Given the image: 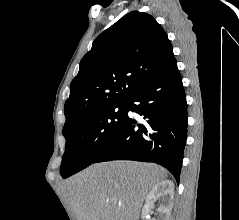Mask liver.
<instances>
[{
    "instance_id": "obj_1",
    "label": "liver",
    "mask_w": 239,
    "mask_h": 220,
    "mask_svg": "<svg viewBox=\"0 0 239 220\" xmlns=\"http://www.w3.org/2000/svg\"><path fill=\"white\" fill-rule=\"evenodd\" d=\"M166 178L155 164L110 161L89 166L63 189L77 220H138L148 192Z\"/></svg>"
}]
</instances>
